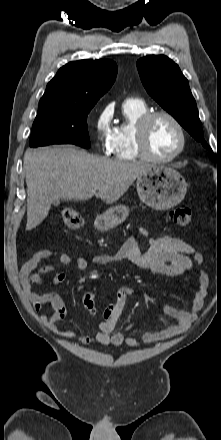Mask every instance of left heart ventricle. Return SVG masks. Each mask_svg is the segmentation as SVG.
Returning <instances> with one entry per match:
<instances>
[{
	"mask_svg": "<svg viewBox=\"0 0 221 440\" xmlns=\"http://www.w3.org/2000/svg\"><path fill=\"white\" fill-rule=\"evenodd\" d=\"M179 133L174 124L165 117L154 119L148 131V145L158 157H169L179 147Z\"/></svg>",
	"mask_w": 221,
	"mask_h": 440,
	"instance_id": "b2bd125f",
	"label": "left heart ventricle"
}]
</instances>
